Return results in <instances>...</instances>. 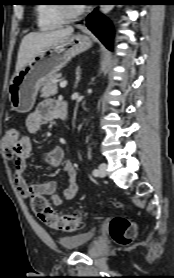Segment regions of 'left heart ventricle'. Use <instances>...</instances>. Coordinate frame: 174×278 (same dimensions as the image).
Listing matches in <instances>:
<instances>
[{"instance_id":"obj_1","label":"left heart ventricle","mask_w":174,"mask_h":278,"mask_svg":"<svg viewBox=\"0 0 174 278\" xmlns=\"http://www.w3.org/2000/svg\"><path fill=\"white\" fill-rule=\"evenodd\" d=\"M74 8H79V7H81V6H78V5H75V6H73Z\"/></svg>"}]
</instances>
